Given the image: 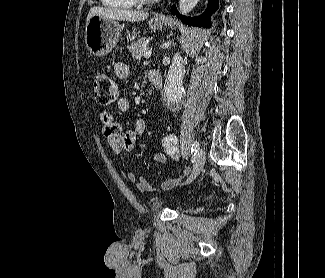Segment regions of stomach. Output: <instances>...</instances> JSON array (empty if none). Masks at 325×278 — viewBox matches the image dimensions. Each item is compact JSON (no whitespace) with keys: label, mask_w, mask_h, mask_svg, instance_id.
Returning a JSON list of instances; mask_svg holds the SVG:
<instances>
[{"label":"stomach","mask_w":325,"mask_h":278,"mask_svg":"<svg viewBox=\"0 0 325 278\" xmlns=\"http://www.w3.org/2000/svg\"><path fill=\"white\" fill-rule=\"evenodd\" d=\"M149 26L153 30L162 28L163 21L152 18ZM120 24L113 19H107L98 15L93 16L85 28V44L91 54L97 57L107 55L113 48L117 47L120 34Z\"/></svg>","instance_id":"1"}]
</instances>
